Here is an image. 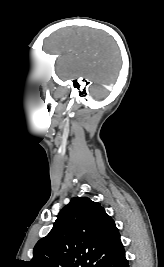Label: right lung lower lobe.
<instances>
[{
    "label": "right lung lower lobe",
    "instance_id": "1",
    "mask_svg": "<svg viewBox=\"0 0 164 267\" xmlns=\"http://www.w3.org/2000/svg\"><path fill=\"white\" fill-rule=\"evenodd\" d=\"M95 267H129L124 248L105 256Z\"/></svg>",
    "mask_w": 164,
    "mask_h": 267
}]
</instances>
